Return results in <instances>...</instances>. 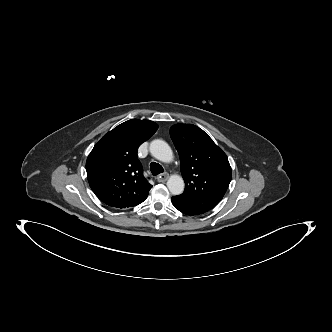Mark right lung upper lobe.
Segmentation results:
<instances>
[{
	"instance_id": "1",
	"label": "right lung upper lobe",
	"mask_w": 332,
	"mask_h": 332,
	"mask_svg": "<svg viewBox=\"0 0 332 332\" xmlns=\"http://www.w3.org/2000/svg\"><path fill=\"white\" fill-rule=\"evenodd\" d=\"M158 125L149 120H128L105 134L86 161L89 185L105 204L132 207L143 202L152 185L143 176L138 147L149 139Z\"/></svg>"
}]
</instances>
